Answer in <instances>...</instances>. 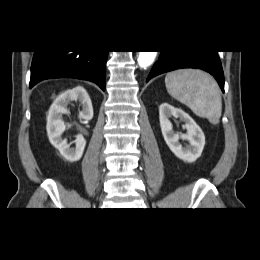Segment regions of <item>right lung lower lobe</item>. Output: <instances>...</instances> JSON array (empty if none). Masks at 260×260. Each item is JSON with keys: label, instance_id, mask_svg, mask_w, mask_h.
<instances>
[{"label": "right lung lower lobe", "instance_id": "obj_1", "mask_svg": "<svg viewBox=\"0 0 260 260\" xmlns=\"http://www.w3.org/2000/svg\"><path fill=\"white\" fill-rule=\"evenodd\" d=\"M108 51H35L30 88L50 78H76L95 82L104 91Z\"/></svg>", "mask_w": 260, "mask_h": 260}]
</instances>
